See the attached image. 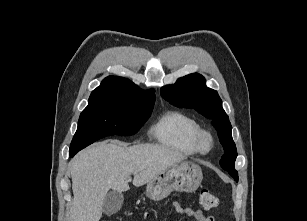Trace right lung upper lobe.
Wrapping results in <instances>:
<instances>
[{
    "label": "right lung upper lobe",
    "instance_id": "right-lung-upper-lobe-1",
    "mask_svg": "<svg viewBox=\"0 0 307 221\" xmlns=\"http://www.w3.org/2000/svg\"><path fill=\"white\" fill-rule=\"evenodd\" d=\"M101 100H127L139 102L155 101L154 89L142 91L130 80L108 76L101 82V85L92 91L89 102Z\"/></svg>",
    "mask_w": 307,
    "mask_h": 221
}]
</instances>
